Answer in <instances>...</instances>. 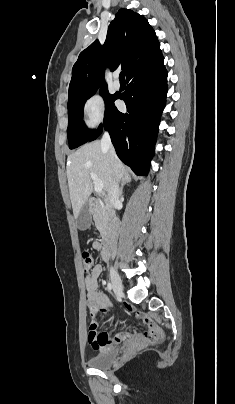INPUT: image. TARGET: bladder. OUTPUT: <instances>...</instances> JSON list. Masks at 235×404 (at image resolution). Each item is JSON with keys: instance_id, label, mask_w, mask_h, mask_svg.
Masks as SVG:
<instances>
[{"instance_id": "1", "label": "bladder", "mask_w": 235, "mask_h": 404, "mask_svg": "<svg viewBox=\"0 0 235 404\" xmlns=\"http://www.w3.org/2000/svg\"><path fill=\"white\" fill-rule=\"evenodd\" d=\"M121 358V352L118 348H102L89 360V365L96 369H107L113 366Z\"/></svg>"}]
</instances>
